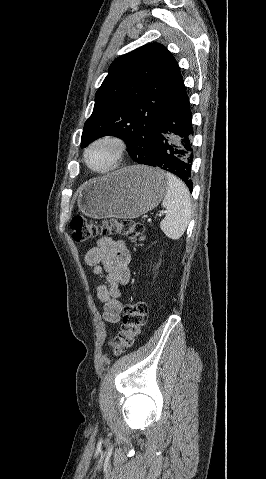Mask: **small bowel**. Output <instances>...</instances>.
Wrapping results in <instances>:
<instances>
[{
  "label": "small bowel",
  "instance_id": "1",
  "mask_svg": "<svg viewBox=\"0 0 266 479\" xmlns=\"http://www.w3.org/2000/svg\"><path fill=\"white\" fill-rule=\"evenodd\" d=\"M85 261L103 281L95 289L104 305V320L111 324L119 323L122 312L120 287L126 285L131 277L129 250L121 240L102 237L96 247L87 251Z\"/></svg>",
  "mask_w": 266,
  "mask_h": 479
}]
</instances>
